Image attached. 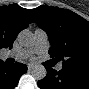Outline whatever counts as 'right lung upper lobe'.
I'll use <instances>...</instances> for the list:
<instances>
[{"mask_svg":"<svg viewBox=\"0 0 89 89\" xmlns=\"http://www.w3.org/2000/svg\"><path fill=\"white\" fill-rule=\"evenodd\" d=\"M32 12L18 5L0 7V49L12 48L20 31L33 23Z\"/></svg>","mask_w":89,"mask_h":89,"instance_id":"1","label":"right lung upper lobe"}]
</instances>
